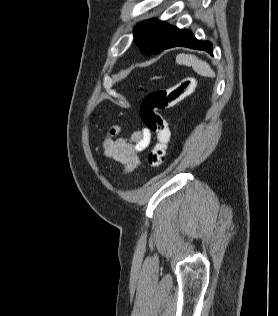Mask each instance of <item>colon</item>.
<instances>
[{"mask_svg": "<svg viewBox=\"0 0 278 316\" xmlns=\"http://www.w3.org/2000/svg\"><path fill=\"white\" fill-rule=\"evenodd\" d=\"M197 80L194 76H187L177 84L146 94L140 105V118L147 129L155 134L156 142L148 154V164L157 168L165 160L170 132L162 111L169 109L190 95Z\"/></svg>", "mask_w": 278, "mask_h": 316, "instance_id": "colon-1", "label": "colon"}]
</instances>
